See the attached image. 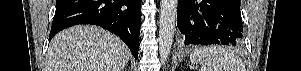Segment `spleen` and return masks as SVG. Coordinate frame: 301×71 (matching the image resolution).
Wrapping results in <instances>:
<instances>
[{"label":"spleen","mask_w":301,"mask_h":71,"mask_svg":"<svg viewBox=\"0 0 301 71\" xmlns=\"http://www.w3.org/2000/svg\"><path fill=\"white\" fill-rule=\"evenodd\" d=\"M191 63L201 65V71H245L242 59L223 46L196 48L190 53Z\"/></svg>","instance_id":"spleen-1"}]
</instances>
